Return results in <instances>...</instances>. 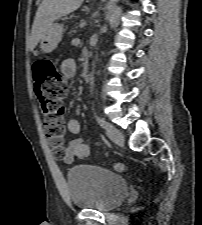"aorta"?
<instances>
[{
	"label": "aorta",
	"instance_id": "762f6f07",
	"mask_svg": "<svg viewBox=\"0 0 202 225\" xmlns=\"http://www.w3.org/2000/svg\"><path fill=\"white\" fill-rule=\"evenodd\" d=\"M117 2H118V0H109V8H110V10L116 5ZM102 30H106V26H103L102 27ZM94 66L95 65L93 63V71H94ZM93 71L89 75V81H90V89H91V91H93V89H94Z\"/></svg>",
	"mask_w": 202,
	"mask_h": 225
}]
</instances>
